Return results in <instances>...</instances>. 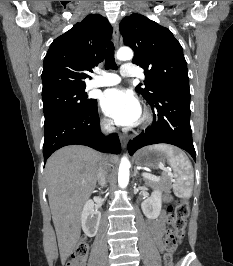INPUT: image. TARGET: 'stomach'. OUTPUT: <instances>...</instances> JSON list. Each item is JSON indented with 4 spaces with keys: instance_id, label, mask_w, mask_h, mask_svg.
Masks as SVG:
<instances>
[{
    "instance_id": "stomach-1",
    "label": "stomach",
    "mask_w": 233,
    "mask_h": 266,
    "mask_svg": "<svg viewBox=\"0 0 233 266\" xmlns=\"http://www.w3.org/2000/svg\"><path fill=\"white\" fill-rule=\"evenodd\" d=\"M166 159L164 152L149 148L138 151L134 157L136 165L154 169L164 165Z\"/></svg>"
}]
</instances>
